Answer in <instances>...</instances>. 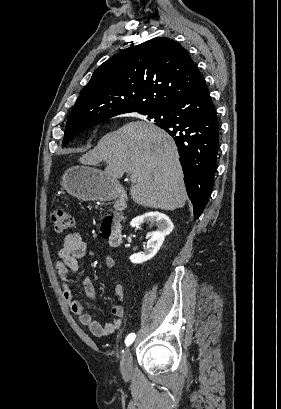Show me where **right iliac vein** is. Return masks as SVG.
I'll return each mask as SVG.
<instances>
[{"mask_svg": "<svg viewBox=\"0 0 281 409\" xmlns=\"http://www.w3.org/2000/svg\"><path fill=\"white\" fill-rule=\"evenodd\" d=\"M132 365V355L129 348H126L122 358V371L127 373Z\"/></svg>", "mask_w": 281, "mask_h": 409, "instance_id": "obj_1", "label": "right iliac vein"}]
</instances>
